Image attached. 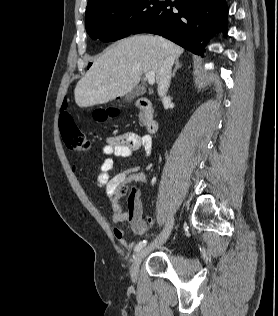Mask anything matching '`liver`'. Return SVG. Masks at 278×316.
Segmentation results:
<instances>
[{
	"label": "liver",
	"instance_id": "obj_1",
	"mask_svg": "<svg viewBox=\"0 0 278 316\" xmlns=\"http://www.w3.org/2000/svg\"><path fill=\"white\" fill-rule=\"evenodd\" d=\"M183 49L162 37L135 35L123 39L98 57L76 84L74 96L79 107L104 104L132 91L141 76L154 71L159 83L163 62L178 59Z\"/></svg>",
	"mask_w": 278,
	"mask_h": 316
}]
</instances>
